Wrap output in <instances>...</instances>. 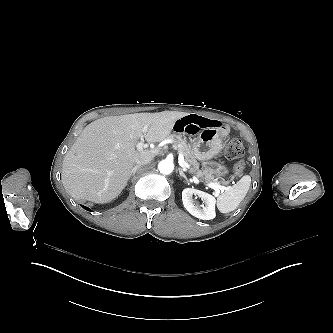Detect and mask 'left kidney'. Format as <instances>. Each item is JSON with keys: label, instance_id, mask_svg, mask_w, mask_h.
<instances>
[{"label": "left kidney", "instance_id": "5707ae66", "mask_svg": "<svg viewBox=\"0 0 333 333\" xmlns=\"http://www.w3.org/2000/svg\"><path fill=\"white\" fill-rule=\"evenodd\" d=\"M197 195L204 202L202 208L196 206L193 202L192 196ZM182 201L185 209L193 216L202 220H211L216 217L215 203L216 199L214 196L192 188H185L182 191Z\"/></svg>", "mask_w": 333, "mask_h": 333}]
</instances>
